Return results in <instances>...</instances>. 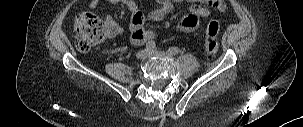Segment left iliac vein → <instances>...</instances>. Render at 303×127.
I'll return each mask as SVG.
<instances>
[{"mask_svg":"<svg viewBox=\"0 0 303 127\" xmlns=\"http://www.w3.org/2000/svg\"><path fill=\"white\" fill-rule=\"evenodd\" d=\"M148 56L149 57H171L172 55L169 54L168 52L155 49V50L148 51Z\"/></svg>","mask_w":303,"mask_h":127,"instance_id":"4c4485c4","label":"left iliac vein"}]
</instances>
